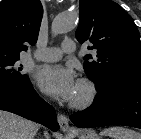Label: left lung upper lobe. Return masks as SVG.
<instances>
[{
	"label": "left lung upper lobe",
	"mask_w": 141,
	"mask_h": 139,
	"mask_svg": "<svg viewBox=\"0 0 141 139\" xmlns=\"http://www.w3.org/2000/svg\"><path fill=\"white\" fill-rule=\"evenodd\" d=\"M77 40L91 42L84 69L96 85L105 91L117 83L141 82V41L132 17L111 0H80Z\"/></svg>",
	"instance_id": "obj_1"
}]
</instances>
